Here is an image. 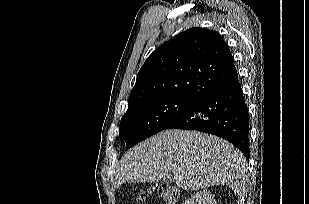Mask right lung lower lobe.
I'll return each instance as SVG.
<instances>
[{"label": "right lung lower lobe", "mask_w": 309, "mask_h": 204, "mask_svg": "<svg viewBox=\"0 0 309 204\" xmlns=\"http://www.w3.org/2000/svg\"><path fill=\"white\" fill-rule=\"evenodd\" d=\"M197 130L219 136L248 158L249 114L238 77L205 94L165 129Z\"/></svg>", "instance_id": "obj_1"}]
</instances>
